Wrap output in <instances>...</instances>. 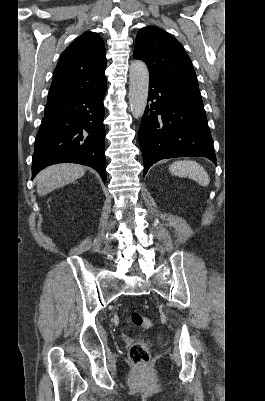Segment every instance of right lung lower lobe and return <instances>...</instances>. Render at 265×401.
Here are the masks:
<instances>
[{
    "label": "right lung lower lobe",
    "mask_w": 265,
    "mask_h": 401,
    "mask_svg": "<svg viewBox=\"0 0 265 401\" xmlns=\"http://www.w3.org/2000/svg\"><path fill=\"white\" fill-rule=\"evenodd\" d=\"M106 87L46 104L36 135L32 176L45 167L71 162L94 168L106 181L103 99Z\"/></svg>",
    "instance_id": "right-lung-lower-lobe-1"
}]
</instances>
